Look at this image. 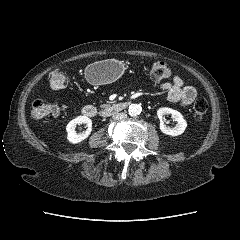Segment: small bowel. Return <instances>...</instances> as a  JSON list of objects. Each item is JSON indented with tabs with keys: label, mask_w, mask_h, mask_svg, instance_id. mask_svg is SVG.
<instances>
[{
	"label": "small bowel",
	"mask_w": 240,
	"mask_h": 240,
	"mask_svg": "<svg viewBox=\"0 0 240 240\" xmlns=\"http://www.w3.org/2000/svg\"><path fill=\"white\" fill-rule=\"evenodd\" d=\"M158 88L167 93L168 102L179 104L181 107L190 105L197 96V89L194 86L185 85L177 75L170 81L159 83Z\"/></svg>",
	"instance_id": "obj_1"
}]
</instances>
